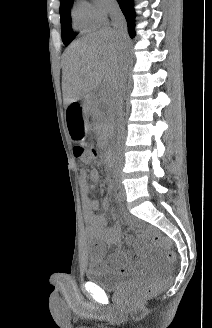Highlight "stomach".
<instances>
[{
	"label": "stomach",
	"mask_w": 212,
	"mask_h": 328,
	"mask_svg": "<svg viewBox=\"0 0 212 328\" xmlns=\"http://www.w3.org/2000/svg\"><path fill=\"white\" fill-rule=\"evenodd\" d=\"M82 102H69L64 110L66 116L67 134L71 135V140H74L75 145H80V140H84L86 134V125L84 124L85 109Z\"/></svg>",
	"instance_id": "stomach-1"
}]
</instances>
